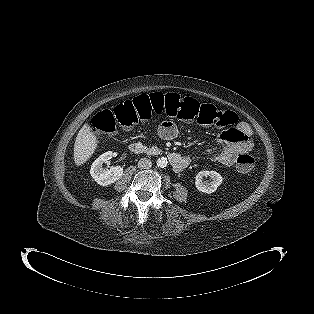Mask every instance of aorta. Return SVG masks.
<instances>
[{
  "label": "aorta",
  "mask_w": 314,
  "mask_h": 314,
  "mask_svg": "<svg viewBox=\"0 0 314 314\" xmlns=\"http://www.w3.org/2000/svg\"><path fill=\"white\" fill-rule=\"evenodd\" d=\"M157 166L160 167V168H164L167 166L168 164V160L166 157H161L157 160Z\"/></svg>",
  "instance_id": "1"
}]
</instances>
